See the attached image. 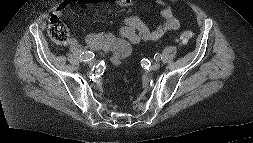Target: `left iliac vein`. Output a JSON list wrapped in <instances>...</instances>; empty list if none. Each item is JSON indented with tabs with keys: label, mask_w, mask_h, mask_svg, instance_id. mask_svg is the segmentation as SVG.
I'll list each match as a JSON object with an SVG mask.
<instances>
[{
	"label": "left iliac vein",
	"mask_w": 253,
	"mask_h": 143,
	"mask_svg": "<svg viewBox=\"0 0 253 143\" xmlns=\"http://www.w3.org/2000/svg\"><path fill=\"white\" fill-rule=\"evenodd\" d=\"M160 68V62L156 61L151 65L152 70H157Z\"/></svg>",
	"instance_id": "4c4485c4"
}]
</instances>
